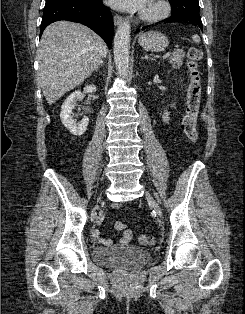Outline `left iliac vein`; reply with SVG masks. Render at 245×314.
Instances as JSON below:
<instances>
[{
    "label": "left iliac vein",
    "mask_w": 245,
    "mask_h": 314,
    "mask_svg": "<svg viewBox=\"0 0 245 314\" xmlns=\"http://www.w3.org/2000/svg\"><path fill=\"white\" fill-rule=\"evenodd\" d=\"M145 196H146L148 203L152 206V208L155 210L157 215L159 217H162L161 208H160L159 204L157 203V201L154 199V197L147 191H145Z\"/></svg>",
    "instance_id": "left-iliac-vein-1"
}]
</instances>
